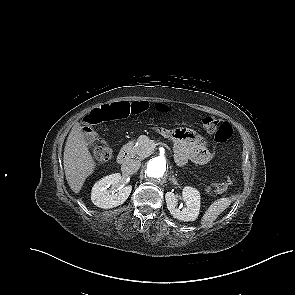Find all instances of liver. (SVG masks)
Masks as SVG:
<instances>
[{
    "label": "liver",
    "mask_w": 295,
    "mask_h": 295,
    "mask_svg": "<svg viewBox=\"0 0 295 295\" xmlns=\"http://www.w3.org/2000/svg\"><path fill=\"white\" fill-rule=\"evenodd\" d=\"M63 162L68 185L74 193H79L86 178L94 172L96 163L78 126L68 136Z\"/></svg>",
    "instance_id": "6515ba94"
}]
</instances>
